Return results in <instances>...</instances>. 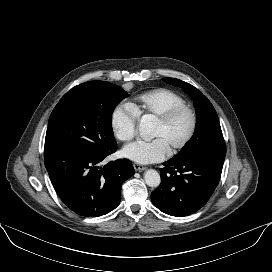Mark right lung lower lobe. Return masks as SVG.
I'll return each instance as SVG.
<instances>
[{"label":"right lung lower lobe","instance_id":"obj_1","mask_svg":"<svg viewBox=\"0 0 272 272\" xmlns=\"http://www.w3.org/2000/svg\"><path fill=\"white\" fill-rule=\"evenodd\" d=\"M116 149V143L99 150L71 147L45 157V166L54 189L73 212L98 217L119 205L121 186L135 171L128 159H118L100 166Z\"/></svg>","mask_w":272,"mask_h":272}]
</instances>
